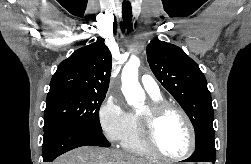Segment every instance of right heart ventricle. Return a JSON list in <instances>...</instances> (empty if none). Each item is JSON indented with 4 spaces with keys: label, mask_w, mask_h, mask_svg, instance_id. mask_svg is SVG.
<instances>
[{
    "label": "right heart ventricle",
    "mask_w": 251,
    "mask_h": 164,
    "mask_svg": "<svg viewBox=\"0 0 251 164\" xmlns=\"http://www.w3.org/2000/svg\"><path fill=\"white\" fill-rule=\"evenodd\" d=\"M152 99L154 102H161V97ZM121 143L123 148L132 154L143 157L154 156L144 144L140 119L136 114H131L130 129Z\"/></svg>",
    "instance_id": "1"
}]
</instances>
